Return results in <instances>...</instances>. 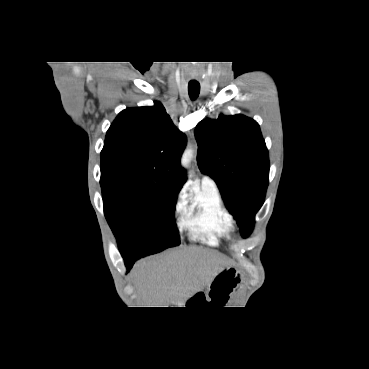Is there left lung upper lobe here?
<instances>
[{
  "label": "left lung upper lobe",
  "instance_id": "1",
  "mask_svg": "<svg viewBox=\"0 0 369 369\" xmlns=\"http://www.w3.org/2000/svg\"><path fill=\"white\" fill-rule=\"evenodd\" d=\"M195 137L200 170L215 180L242 237H248L269 176L268 151L258 123L240 114L220 115L199 122Z\"/></svg>",
  "mask_w": 369,
  "mask_h": 369
}]
</instances>
